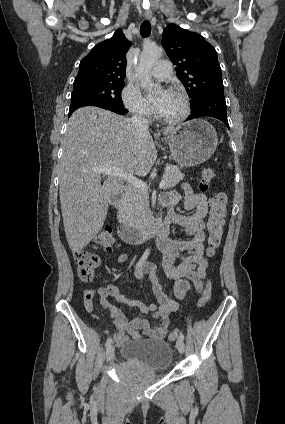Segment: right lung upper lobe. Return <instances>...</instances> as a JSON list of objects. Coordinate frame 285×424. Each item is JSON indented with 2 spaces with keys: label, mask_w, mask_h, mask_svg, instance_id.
<instances>
[{
  "label": "right lung upper lobe",
  "mask_w": 285,
  "mask_h": 424,
  "mask_svg": "<svg viewBox=\"0 0 285 424\" xmlns=\"http://www.w3.org/2000/svg\"><path fill=\"white\" fill-rule=\"evenodd\" d=\"M130 45L123 32L117 30L112 38L94 46L81 60L74 84L123 81Z\"/></svg>",
  "instance_id": "1"
}]
</instances>
